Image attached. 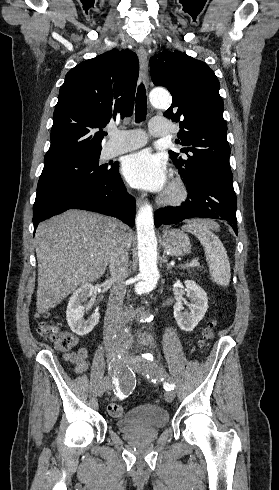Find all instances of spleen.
Here are the masks:
<instances>
[{
  "instance_id": "1",
  "label": "spleen",
  "mask_w": 279,
  "mask_h": 490,
  "mask_svg": "<svg viewBox=\"0 0 279 490\" xmlns=\"http://www.w3.org/2000/svg\"><path fill=\"white\" fill-rule=\"evenodd\" d=\"M182 230L191 232L198 238L204 248L211 278L218 286L227 288L231 278L229 258L222 242L211 232V230H219L218 224L211 220H189L186 226H182Z\"/></svg>"
}]
</instances>
